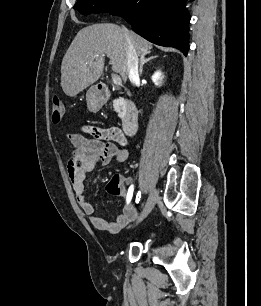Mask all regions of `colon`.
Instances as JSON below:
<instances>
[{
  "mask_svg": "<svg viewBox=\"0 0 261 306\" xmlns=\"http://www.w3.org/2000/svg\"><path fill=\"white\" fill-rule=\"evenodd\" d=\"M64 116H65L64 104L59 98L55 97L52 102V113H51L52 121L56 124L60 123L64 118ZM80 162L81 160H79V163Z\"/></svg>",
  "mask_w": 261,
  "mask_h": 306,
  "instance_id": "colon-1",
  "label": "colon"
}]
</instances>
